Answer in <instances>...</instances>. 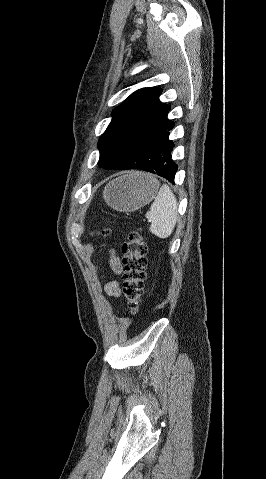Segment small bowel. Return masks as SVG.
I'll list each match as a JSON object with an SVG mask.
<instances>
[{
    "label": "small bowel",
    "instance_id": "1",
    "mask_svg": "<svg viewBox=\"0 0 266 479\" xmlns=\"http://www.w3.org/2000/svg\"><path fill=\"white\" fill-rule=\"evenodd\" d=\"M110 265L114 272L121 273L122 266L119 258L116 255H112L110 258ZM106 293L111 297H119L120 296V287L119 283L116 280H110L106 283L105 286Z\"/></svg>",
    "mask_w": 266,
    "mask_h": 479
}]
</instances>
